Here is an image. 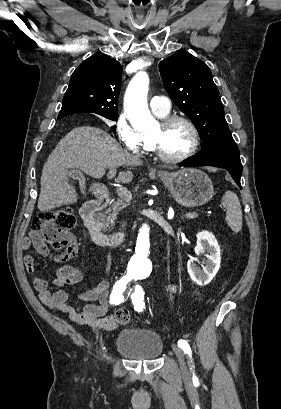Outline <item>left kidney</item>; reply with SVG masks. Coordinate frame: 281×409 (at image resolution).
Wrapping results in <instances>:
<instances>
[{"label":"left kidney","mask_w":281,"mask_h":409,"mask_svg":"<svg viewBox=\"0 0 281 409\" xmlns=\"http://www.w3.org/2000/svg\"><path fill=\"white\" fill-rule=\"evenodd\" d=\"M196 237L197 245L194 249L195 255L196 257H201L203 253H206L204 257H206L207 261L202 259L203 267L201 271L195 263L197 259H190L187 263V271L194 283H197L200 287H204V285H208V283L212 281L220 269V247L214 235L208 233V231H201V233H197Z\"/></svg>","instance_id":"5707ae66"}]
</instances>
